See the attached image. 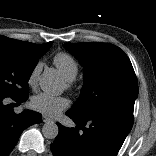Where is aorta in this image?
Segmentation results:
<instances>
[{
  "label": "aorta",
  "instance_id": "1",
  "mask_svg": "<svg viewBox=\"0 0 156 156\" xmlns=\"http://www.w3.org/2000/svg\"><path fill=\"white\" fill-rule=\"evenodd\" d=\"M41 89L50 94H55L61 89V80L53 71H44L39 81ZM59 129L54 121L46 122L42 127V134L46 139H55Z\"/></svg>",
  "mask_w": 156,
  "mask_h": 156
}]
</instances>
